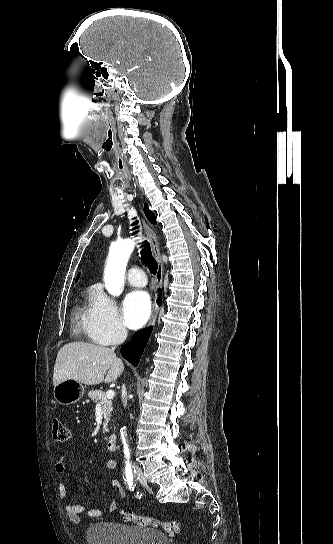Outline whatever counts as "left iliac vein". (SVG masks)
Masks as SVG:
<instances>
[{
    "instance_id": "obj_1",
    "label": "left iliac vein",
    "mask_w": 333,
    "mask_h": 544,
    "mask_svg": "<svg viewBox=\"0 0 333 544\" xmlns=\"http://www.w3.org/2000/svg\"><path fill=\"white\" fill-rule=\"evenodd\" d=\"M137 478L141 484H145L146 480L140 472H137Z\"/></svg>"
}]
</instances>
